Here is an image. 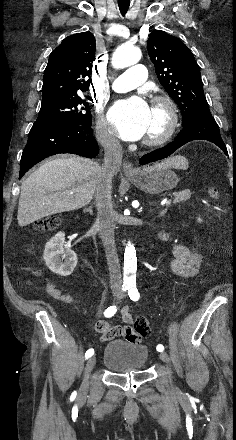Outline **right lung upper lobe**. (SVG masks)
I'll return each instance as SVG.
<instances>
[{"label":"right lung upper lobe","instance_id":"cb5924a9","mask_svg":"<svg viewBox=\"0 0 236 440\" xmlns=\"http://www.w3.org/2000/svg\"><path fill=\"white\" fill-rule=\"evenodd\" d=\"M95 37L91 32L66 37L52 51L43 76L42 105L80 96L89 89Z\"/></svg>","mask_w":236,"mask_h":440}]
</instances>
